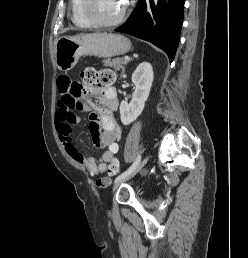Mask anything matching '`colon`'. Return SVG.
<instances>
[{
    "instance_id": "colon-1",
    "label": "colon",
    "mask_w": 248,
    "mask_h": 258,
    "mask_svg": "<svg viewBox=\"0 0 248 258\" xmlns=\"http://www.w3.org/2000/svg\"><path fill=\"white\" fill-rule=\"evenodd\" d=\"M114 79L115 74L110 69L86 68L81 74V83H75L70 87V90L75 97H79L84 87L109 86L114 82ZM119 171V162L114 159L109 166V175L115 176Z\"/></svg>"
}]
</instances>
